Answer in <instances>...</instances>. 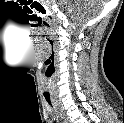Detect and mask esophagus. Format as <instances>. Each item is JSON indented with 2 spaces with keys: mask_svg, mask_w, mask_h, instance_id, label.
Returning a JSON list of instances; mask_svg holds the SVG:
<instances>
[{
  "mask_svg": "<svg viewBox=\"0 0 124 123\" xmlns=\"http://www.w3.org/2000/svg\"><path fill=\"white\" fill-rule=\"evenodd\" d=\"M60 114L64 123H70V120L63 108H60Z\"/></svg>",
  "mask_w": 124,
  "mask_h": 123,
  "instance_id": "34e87169",
  "label": "esophagus"
}]
</instances>
